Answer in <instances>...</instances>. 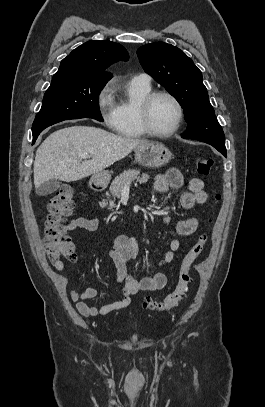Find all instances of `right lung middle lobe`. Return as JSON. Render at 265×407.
Listing matches in <instances>:
<instances>
[{
  "label": "right lung middle lobe",
  "mask_w": 265,
  "mask_h": 407,
  "mask_svg": "<svg viewBox=\"0 0 265 407\" xmlns=\"http://www.w3.org/2000/svg\"><path fill=\"white\" fill-rule=\"evenodd\" d=\"M106 83L76 80L67 75L53 76L33 122V137L37 138L45 128L63 120L93 118L103 121L99 94Z\"/></svg>",
  "instance_id": "right-lung-middle-lobe-1"
}]
</instances>
